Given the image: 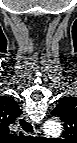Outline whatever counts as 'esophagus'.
Listing matches in <instances>:
<instances>
[{
  "label": "esophagus",
  "instance_id": "34e87169",
  "mask_svg": "<svg viewBox=\"0 0 77 143\" xmlns=\"http://www.w3.org/2000/svg\"><path fill=\"white\" fill-rule=\"evenodd\" d=\"M18 125L20 126V129L23 131V133L26 135H32L35 132V127L33 123L25 115H22L18 118Z\"/></svg>",
  "mask_w": 77,
  "mask_h": 143
}]
</instances>
